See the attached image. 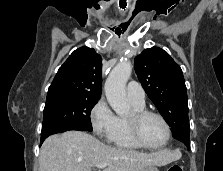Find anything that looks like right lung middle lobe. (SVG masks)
Listing matches in <instances>:
<instances>
[{"mask_svg": "<svg viewBox=\"0 0 223 171\" xmlns=\"http://www.w3.org/2000/svg\"><path fill=\"white\" fill-rule=\"evenodd\" d=\"M99 98L59 96L46 100L41 136L55 127L73 124L92 131L90 113Z\"/></svg>", "mask_w": 223, "mask_h": 171, "instance_id": "obj_1", "label": "right lung middle lobe"}]
</instances>
